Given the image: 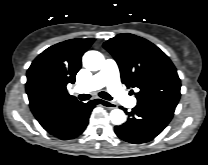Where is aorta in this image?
<instances>
[{
    "label": "aorta",
    "mask_w": 208,
    "mask_h": 165,
    "mask_svg": "<svg viewBox=\"0 0 208 165\" xmlns=\"http://www.w3.org/2000/svg\"><path fill=\"white\" fill-rule=\"evenodd\" d=\"M104 64V56L98 51H87L83 56V66L91 71H98ZM110 120L116 125L125 121V114L121 109H113L110 112Z\"/></svg>",
    "instance_id": "762f6f07"
}]
</instances>
